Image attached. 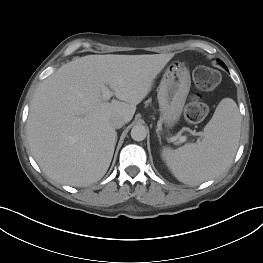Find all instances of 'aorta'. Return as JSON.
Here are the masks:
<instances>
[{
    "instance_id": "1",
    "label": "aorta",
    "mask_w": 263,
    "mask_h": 263,
    "mask_svg": "<svg viewBox=\"0 0 263 263\" xmlns=\"http://www.w3.org/2000/svg\"><path fill=\"white\" fill-rule=\"evenodd\" d=\"M131 137L135 141H143L147 136V130L143 125H135L131 129Z\"/></svg>"
}]
</instances>
